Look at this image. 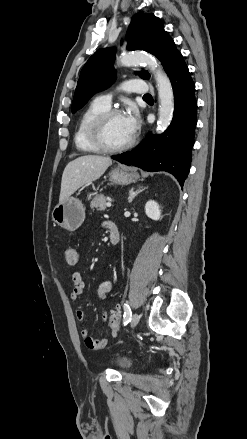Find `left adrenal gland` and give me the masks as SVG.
I'll use <instances>...</instances> for the list:
<instances>
[{
    "mask_svg": "<svg viewBox=\"0 0 247 439\" xmlns=\"http://www.w3.org/2000/svg\"><path fill=\"white\" fill-rule=\"evenodd\" d=\"M147 187H138L137 190H135V187H132L129 190V196H128V202H132V200L135 198V196H137L139 193H141L142 191H144Z\"/></svg>",
    "mask_w": 247,
    "mask_h": 439,
    "instance_id": "obj_1",
    "label": "left adrenal gland"
}]
</instances>
